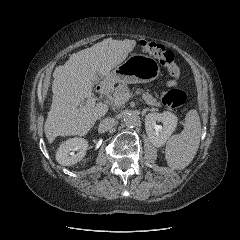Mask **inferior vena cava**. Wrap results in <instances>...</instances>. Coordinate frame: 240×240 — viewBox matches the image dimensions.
<instances>
[{"label":"inferior vena cava","mask_w":240,"mask_h":240,"mask_svg":"<svg viewBox=\"0 0 240 240\" xmlns=\"http://www.w3.org/2000/svg\"><path fill=\"white\" fill-rule=\"evenodd\" d=\"M115 123H116V120L114 118H110V117L105 118L99 123L98 131L100 133L110 131L113 129Z\"/></svg>","instance_id":"obj_1"}]
</instances>
